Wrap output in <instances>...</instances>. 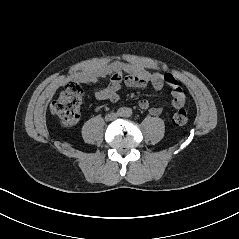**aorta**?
<instances>
[{
  "instance_id": "1",
  "label": "aorta",
  "mask_w": 239,
  "mask_h": 239,
  "mask_svg": "<svg viewBox=\"0 0 239 239\" xmlns=\"http://www.w3.org/2000/svg\"><path fill=\"white\" fill-rule=\"evenodd\" d=\"M131 114V109H126V111L124 112V116H130Z\"/></svg>"
}]
</instances>
